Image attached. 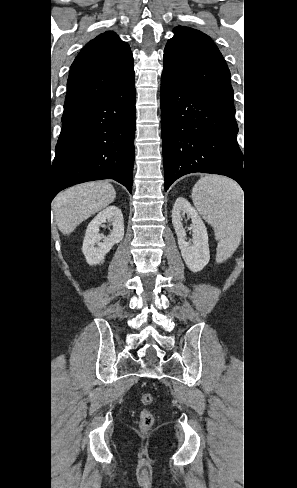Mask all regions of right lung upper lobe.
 <instances>
[{"instance_id":"1","label":"right lung upper lobe","mask_w":297,"mask_h":488,"mask_svg":"<svg viewBox=\"0 0 297 488\" xmlns=\"http://www.w3.org/2000/svg\"><path fill=\"white\" fill-rule=\"evenodd\" d=\"M133 75L129 45L112 31L100 34L84 46L71 65L63 115L102 97Z\"/></svg>"}]
</instances>
